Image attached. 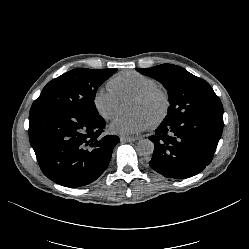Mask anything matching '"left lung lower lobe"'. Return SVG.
<instances>
[{"instance_id": "obj_1", "label": "left lung lower lobe", "mask_w": 249, "mask_h": 249, "mask_svg": "<svg viewBox=\"0 0 249 249\" xmlns=\"http://www.w3.org/2000/svg\"><path fill=\"white\" fill-rule=\"evenodd\" d=\"M222 130L223 113L163 121L149 137L154 143L149 165L168 178L194 176L211 162Z\"/></svg>"}]
</instances>
